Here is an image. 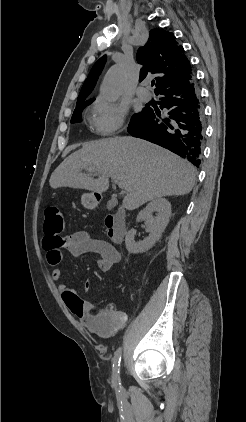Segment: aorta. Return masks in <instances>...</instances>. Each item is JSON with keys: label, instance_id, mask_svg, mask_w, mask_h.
Instances as JSON below:
<instances>
[{"label": "aorta", "instance_id": "obj_1", "mask_svg": "<svg viewBox=\"0 0 246 422\" xmlns=\"http://www.w3.org/2000/svg\"><path fill=\"white\" fill-rule=\"evenodd\" d=\"M125 82L126 72L122 67L110 68L101 85V97L110 102L118 100L123 92Z\"/></svg>", "mask_w": 246, "mask_h": 422}]
</instances>
